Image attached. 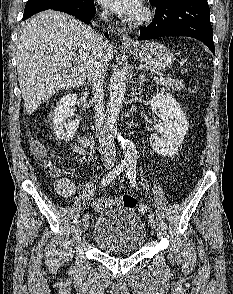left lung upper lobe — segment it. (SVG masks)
Listing matches in <instances>:
<instances>
[{
	"mask_svg": "<svg viewBox=\"0 0 233 294\" xmlns=\"http://www.w3.org/2000/svg\"><path fill=\"white\" fill-rule=\"evenodd\" d=\"M151 3H153V2H155V1H157V0H149Z\"/></svg>",
	"mask_w": 233,
	"mask_h": 294,
	"instance_id": "1",
	"label": "left lung upper lobe"
}]
</instances>
